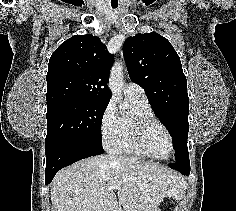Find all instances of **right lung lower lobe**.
Instances as JSON below:
<instances>
[{
    "label": "right lung lower lobe",
    "instance_id": "obj_1",
    "mask_svg": "<svg viewBox=\"0 0 236 211\" xmlns=\"http://www.w3.org/2000/svg\"><path fill=\"white\" fill-rule=\"evenodd\" d=\"M102 153V146L89 141L61 139L46 142L45 184H49L61 168Z\"/></svg>",
    "mask_w": 236,
    "mask_h": 211
}]
</instances>
